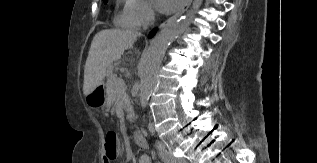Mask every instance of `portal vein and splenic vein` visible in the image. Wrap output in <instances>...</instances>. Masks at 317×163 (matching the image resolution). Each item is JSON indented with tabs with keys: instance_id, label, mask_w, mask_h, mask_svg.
<instances>
[{
	"instance_id": "1",
	"label": "portal vein and splenic vein",
	"mask_w": 317,
	"mask_h": 163,
	"mask_svg": "<svg viewBox=\"0 0 317 163\" xmlns=\"http://www.w3.org/2000/svg\"><path fill=\"white\" fill-rule=\"evenodd\" d=\"M117 85L120 87V88H124V86H125V83H124V81L122 80V79H120V80H118L117 81Z\"/></svg>"
}]
</instances>
